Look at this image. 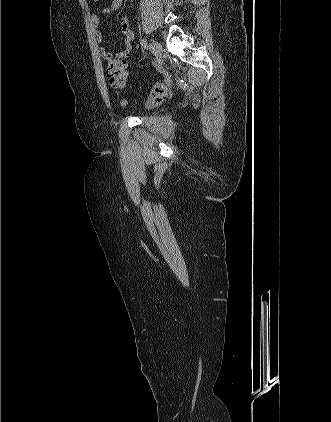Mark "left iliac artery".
<instances>
[{"instance_id": "44dca946", "label": "left iliac artery", "mask_w": 331, "mask_h": 422, "mask_svg": "<svg viewBox=\"0 0 331 422\" xmlns=\"http://www.w3.org/2000/svg\"><path fill=\"white\" fill-rule=\"evenodd\" d=\"M141 44H142V46H143L145 49H147V48H148V43H147L146 38H144V39L142 40Z\"/></svg>"}]
</instances>
